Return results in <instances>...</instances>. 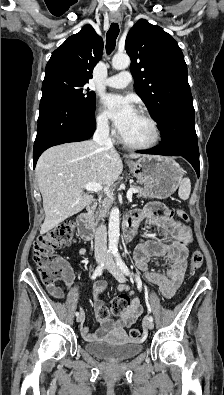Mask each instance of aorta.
<instances>
[{"instance_id": "obj_1", "label": "aorta", "mask_w": 224, "mask_h": 395, "mask_svg": "<svg viewBox=\"0 0 224 395\" xmlns=\"http://www.w3.org/2000/svg\"><path fill=\"white\" fill-rule=\"evenodd\" d=\"M130 65V58L126 54H116L112 59V67L116 70L126 69ZM120 213L118 208H113L110 212L108 225V248L111 252L118 251V242L120 236L119 230Z\"/></svg>"}]
</instances>
